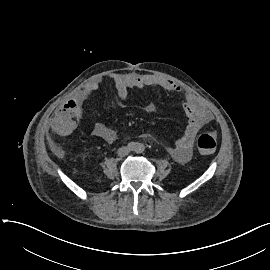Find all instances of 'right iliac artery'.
Listing matches in <instances>:
<instances>
[{
    "label": "right iliac artery",
    "mask_w": 270,
    "mask_h": 270,
    "mask_svg": "<svg viewBox=\"0 0 270 270\" xmlns=\"http://www.w3.org/2000/svg\"><path fill=\"white\" fill-rule=\"evenodd\" d=\"M128 148L130 150H134L136 148V144L134 142H131V143L128 144Z\"/></svg>",
    "instance_id": "right-iliac-artery-1"
}]
</instances>
